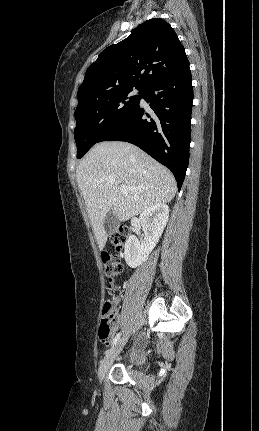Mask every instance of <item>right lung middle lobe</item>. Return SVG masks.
Returning <instances> with one entry per match:
<instances>
[{
  "label": "right lung middle lobe",
  "mask_w": 259,
  "mask_h": 431,
  "mask_svg": "<svg viewBox=\"0 0 259 431\" xmlns=\"http://www.w3.org/2000/svg\"><path fill=\"white\" fill-rule=\"evenodd\" d=\"M133 87L120 88L86 98L75 110L77 126L74 130L77 158L80 159L100 138L121 121L139 102V95H132Z\"/></svg>",
  "instance_id": "right-lung-middle-lobe-1"
}]
</instances>
